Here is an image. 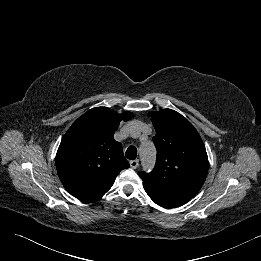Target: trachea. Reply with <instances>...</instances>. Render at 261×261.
<instances>
[{"label": "trachea", "mask_w": 261, "mask_h": 261, "mask_svg": "<svg viewBox=\"0 0 261 261\" xmlns=\"http://www.w3.org/2000/svg\"><path fill=\"white\" fill-rule=\"evenodd\" d=\"M125 156L129 160H134L137 157V148L135 146H130L126 150Z\"/></svg>", "instance_id": "3493384b"}]
</instances>
